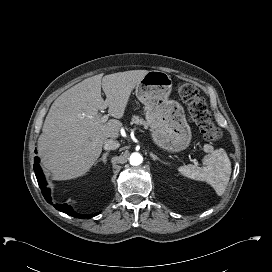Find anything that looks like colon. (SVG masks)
Masks as SVG:
<instances>
[{"mask_svg": "<svg viewBox=\"0 0 272 272\" xmlns=\"http://www.w3.org/2000/svg\"><path fill=\"white\" fill-rule=\"evenodd\" d=\"M176 91L187 106L192 119L199 126L204 138L210 142H217L221 133L212 123L206 102L197 88L190 83L181 82L177 84Z\"/></svg>", "mask_w": 272, "mask_h": 272, "instance_id": "1", "label": "colon"}]
</instances>
